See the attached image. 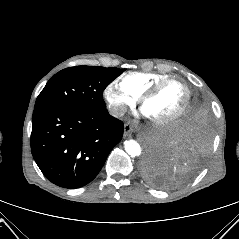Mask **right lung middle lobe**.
<instances>
[{
	"instance_id": "obj_1",
	"label": "right lung middle lobe",
	"mask_w": 239,
	"mask_h": 239,
	"mask_svg": "<svg viewBox=\"0 0 239 239\" xmlns=\"http://www.w3.org/2000/svg\"><path fill=\"white\" fill-rule=\"evenodd\" d=\"M122 73L119 68L94 66L63 69L47 82L37 97L34 109L51 106L106 108L103 91Z\"/></svg>"
}]
</instances>
